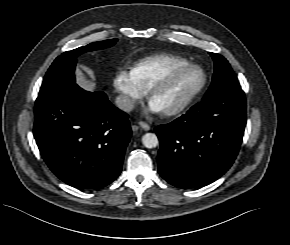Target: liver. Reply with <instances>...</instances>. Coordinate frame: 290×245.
Masks as SVG:
<instances>
[{"instance_id":"6515ba94","label":"liver","mask_w":290,"mask_h":245,"mask_svg":"<svg viewBox=\"0 0 290 245\" xmlns=\"http://www.w3.org/2000/svg\"><path fill=\"white\" fill-rule=\"evenodd\" d=\"M76 80L77 84L86 91H94L96 89V79L91 70H87L86 73L77 70Z\"/></svg>"}]
</instances>
